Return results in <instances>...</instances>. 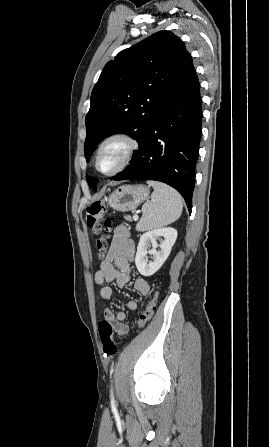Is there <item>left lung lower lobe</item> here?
<instances>
[{
  "label": "left lung lower lobe",
  "mask_w": 269,
  "mask_h": 447,
  "mask_svg": "<svg viewBox=\"0 0 269 447\" xmlns=\"http://www.w3.org/2000/svg\"><path fill=\"white\" fill-rule=\"evenodd\" d=\"M201 122L200 84L187 52L142 148L114 180L164 182L183 196L191 212Z\"/></svg>",
  "instance_id": "1"
}]
</instances>
